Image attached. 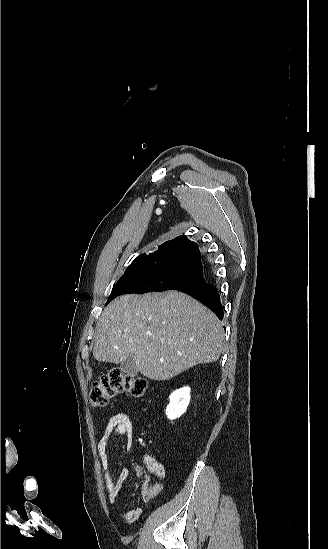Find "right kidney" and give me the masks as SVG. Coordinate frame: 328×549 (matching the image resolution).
Here are the masks:
<instances>
[{"label": "right kidney", "mask_w": 328, "mask_h": 549, "mask_svg": "<svg viewBox=\"0 0 328 549\" xmlns=\"http://www.w3.org/2000/svg\"><path fill=\"white\" fill-rule=\"evenodd\" d=\"M190 391L189 387H182V389H176L171 393L170 403L166 409L168 419H171V421L179 419L185 413L190 403Z\"/></svg>", "instance_id": "ca27d5eb"}]
</instances>
